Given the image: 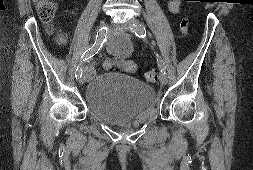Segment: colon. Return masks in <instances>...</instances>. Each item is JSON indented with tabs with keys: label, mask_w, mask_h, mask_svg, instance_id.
Returning a JSON list of instances; mask_svg holds the SVG:
<instances>
[{
	"label": "colon",
	"mask_w": 253,
	"mask_h": 170,
	"mask_svg": "<svg viewBox=\"0 0 253 170\" xmlns=\"http://www.w3.org/2000/svg\"><path fill=\"white\" fill-rule=\"evenodd\" d=\"M194 1V0H188ZM39 17L45 23H50L56 14L57 4L53 0H33ZM189 30V19L184 17L180 21V32L183 35H186ZM60 41L63 40L62 36H59ZM145 78L148 82H156L158 80V73L156 71H148L145 74Z\"/></svg>",
	"instance_id": "obj_1"
}]
</instances>
